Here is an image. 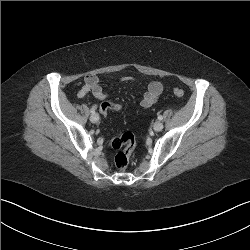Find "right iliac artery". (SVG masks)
<instances>
[{"mask_svg": "<svg viewBox=\"0 0 250 250\" xmlns=\"http://www.w3.org/2000/svg\"><path fill=\"white\" fill-rule=\"evenodd\" d=\"M90 112H91L92 114H94V113H95V109L92 108V109L90 110Z\"/></svg>", "mask_w": 250, "mask_h": 250, "instance_id": "right-iliac-artery-1", "label": "right iliac artery"}]
</instances>
